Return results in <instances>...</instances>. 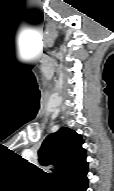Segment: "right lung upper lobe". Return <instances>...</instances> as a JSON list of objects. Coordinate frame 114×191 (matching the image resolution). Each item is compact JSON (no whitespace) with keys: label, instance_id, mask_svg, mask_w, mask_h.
<instances>
[{"label":"right lung upper lobe","instance_id":"obj_1","mask_svg":"<svg viewBox=\"0 0 114 191\" xmlns=\"http://www.w3.org/2000/svg\"><path fill=\"white\" fill-rule=\"evenodd\" d=\"M82 144L83 140L79 134L63 127L48 135L42 143L38 152L40 163L56 167L53 175L59 183L64 178L88 168Z\"/></svg>","mask_w":114,"mask_h":191}]
</instances>
